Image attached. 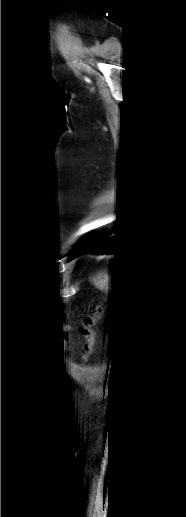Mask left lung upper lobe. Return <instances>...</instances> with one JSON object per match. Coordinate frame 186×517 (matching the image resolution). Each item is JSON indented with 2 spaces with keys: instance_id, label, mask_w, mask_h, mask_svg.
<instances>
[{
  "instance_id": "left-lung-upper-lobe-1",
  "label": "left lung upper lobe",
  "mask_w": 186,
  "mask_h": 517,
  "mask_svg": "<svg viewBox=\"0 0 186 517\" xmlns=\"http://www.w3.org/2000/svg\"><path fill=\"white\" fill-rule=\"evenodd\" d=\"M91 237V235H88L87 237L83 238L80 243L78 244V247L75 249L74 253L80 249L87 241L88 239Z\"/></svg>"
}]
</instances>
